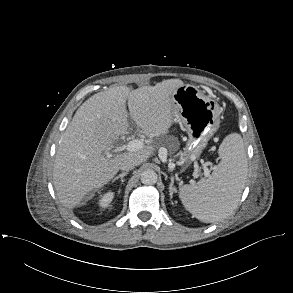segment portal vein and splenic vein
Wrapping results in <instances>:
<instances>
[{
  "mask_svg": "<svg viewBox=\"0 0 293 293\" xmlns=\"http://www.w3.org/2000/svg\"><path fill=\"white\" fill-rule=\"evenodd\" d=\"M144 146L143 142L141 140H138V139H135V140H131L129 141L126 145H124V149L127 150V151H137V150H140L142 149ZM109 157H111V154H109ZM174 166V164H173ZM209 169L204 166V175L206 177L209 176ZM198 175H196L197 177Z\"/></svg>",
  "mask_w": 293,
  "mask_h": 293,
  "instance_id": "1",
  "label": "portal vein and splenic vein"
}]
</instances>
